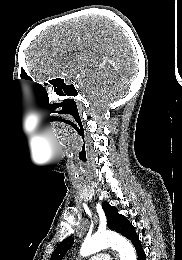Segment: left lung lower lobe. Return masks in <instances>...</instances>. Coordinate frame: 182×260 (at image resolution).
<instances>
[{"mask_svg":"<svg viewBox=\"0 0 182 260\" xmlns=\"http://www.w3.org/2000/svg\"><path fill=\"white\" fill-rule=\"evenodd\" d=\"M125 237L129 239L131 243L134 245L138 255V260H146V254L142 248L141 241L139 240V237L135 229L132 228Z\"/></svg>","mask_w":182,"mask_h":260,"instance_id":"obj_1","label":"left lung lower lobe"}]
</instances>
